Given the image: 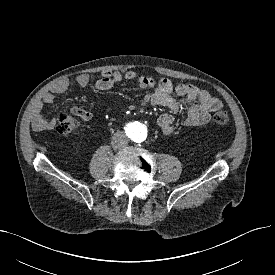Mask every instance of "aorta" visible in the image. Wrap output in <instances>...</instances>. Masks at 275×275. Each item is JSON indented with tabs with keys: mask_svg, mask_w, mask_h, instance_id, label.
I'll return each instance as SVG.
<instances>
[{
	"mask_svg": "<svg viewBox=\"0 0 275 275\" xmlns=\"http://www.w3.org/2000/svg\"><path fill=\"white\" fill-rule=\"evenodd\" d=\"M127 132L132 140L135 142H141L146 137L147 127L143 123L134 122L128 125Z\"/></svg>",
	"mask_w": 275,
	"mask_h": 275,
	"instance_id": "762f6f07",
	"label": "aorta"
}]
</instances>
